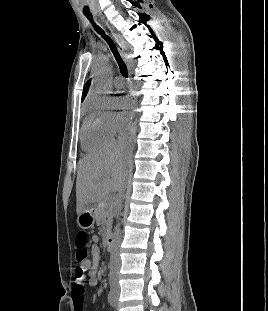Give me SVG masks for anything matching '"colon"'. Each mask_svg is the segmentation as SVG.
Segmentation results:
<instances>
[{
  "label": "colon",
  "instance_id": "1",
  "mask_svg": "<svg viewBox=\"0 0 268 311\" xmlns=\"http://www.w3.org/2000/svg\"><path fill=\"white\" fill-rule=\"evenodd\" d=\"M87 235L81 232L76 239V246L78 248L76 252V268L75 276L77 280H82L88 273L90 260L88 258V251L86 250Z\"/></svg>",
  "mask_w": 268,
  "mask_h": 311
}]
</instances>
